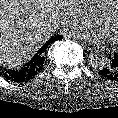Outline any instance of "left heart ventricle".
Here are the masks:
<instances>
[{
    "label": "left heart ventricle",
    "mask_w": 118,
    "mask_h": 118,
    "mask_svg": "<svg viewBox=\"0 0 118 118\" xmlns=\"http://www.w3.org/2000/svg\"><path fill=\"white\" fill-rule=\"evenodd\" d=\"M102 33L105 34L111 41H118V3L115 5L111 16L100 23Z\"/></svg>",
    "instance_id": "1"
}]
</instances>
